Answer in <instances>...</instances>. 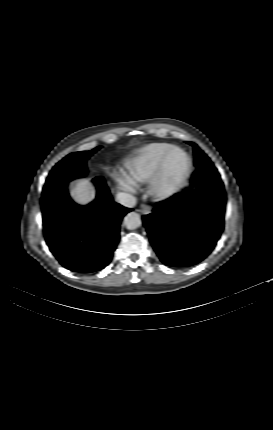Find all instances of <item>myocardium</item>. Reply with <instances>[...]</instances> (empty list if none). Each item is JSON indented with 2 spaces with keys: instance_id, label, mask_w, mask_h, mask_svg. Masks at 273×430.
<instances>
[{
  "instance_id": "obj_1",
  "label": "myocardium",
  "mask_w": 273,
  "mask_h": 430,
  "mask_svg": "<svg viewBox=\"0 0 273 430\" xmlns=\"http://www.w3.org/2000/svg\"><path fill=\"white\" fill-rule=\"evenodd\" d=\"M180 153L186 160V166L182 174L174 181L168 183L165 181L166 165L172 154ZM192 169L190 156L180 147L173 146L167 150L159 161L154 173L149 179V190L157 199H168L174 196L187 181Z\"/></svg>"
}]
</instances>
